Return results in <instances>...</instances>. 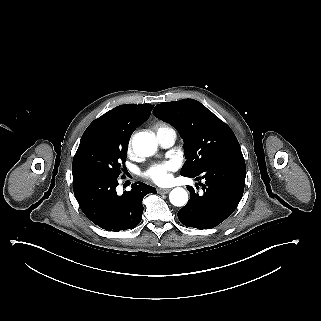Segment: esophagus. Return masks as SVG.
Returning a JSON list of instances; mask_svg holds the SVG:
<instances>
[{"label": "esophagus", "instance_id": "34e87169", "mask_svg": "<svg viewBox=\"0 0 321 321\" xmlns=\"http://www.w3.org/2000/svg\"><path fill=\"white\" fill-rule=\"evenodd\" d=\"M171 190V188H158V193L159 194H166Z\"/></svg>", "mask_w": 321, "mask_h": 321}]
</instances>
